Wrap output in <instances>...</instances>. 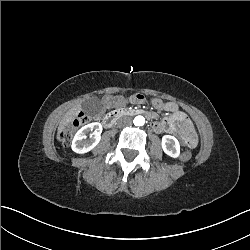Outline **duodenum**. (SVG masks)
I'll return each mask as SVG.
<instances>
[{"mask_svg": "<svg viewBox=\"0 0 250 250\" xmlns=\"http://www.w3.org/2000/svg\"><path fill=\"white\" fill-rule=\"evenodd\" d=\"M135 115H142V116H150V114L148 112H146L145 110H127V109H123V108H117L112 110L111 112H109L106 117L104 118L103 121V126L105 127V129H111L115 126L116 122L124 117V116H129V117H133Z\"/></svg>", "mask_w": 250, "mask_h": 250, "instance_id": "1", "label": "duodenum"}]
</instances>
